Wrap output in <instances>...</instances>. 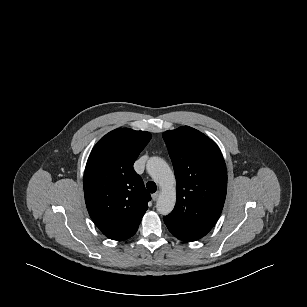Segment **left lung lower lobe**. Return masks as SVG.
<instances>
[{
  "label": "left lung lower lobe",
  "mask_w": 307,
  "mask_h": 307,
  "mask_svg": "<svg viewBox=\"0 0 307 307\" xmlns=\"http://www.w3.org/2000/svg\"><path fill=\"white\" fill-rule=\"evenodd\" d=\"M167 228L169 229V231L171 232V234H173L175 237H177L178 239L185 241V242H192V241H196L197 239H194L180 231H178L177 229H175L173 226H171L169 223L165 222Z\"/></svg>",
  "instance_id": "1"
}]
</instances>
